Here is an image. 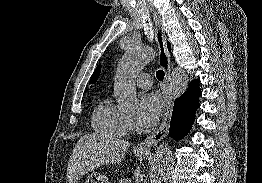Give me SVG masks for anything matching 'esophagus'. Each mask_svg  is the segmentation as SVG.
I'll use <instances>...</instances> for the list:
<instances>
[{"instance_id": "esophagus-1", "label": "esophagus", "mask_w": 262, "mask_h": 183, "mask_svg": "<svg viewBox=\"0 0 262 183\" xmlns=\"http://www.w3.org/2000/svg\"><path fill=\"white\" fill-rule=\"evenodd\" d=\"M155 21V38L159 49V65L165 72V82L162 89L165 102L164 118L159 129L148 136L144 141L140 142L137 150L141 152H149L168 132L170 120L173 110V102L166 88L167 80L170 76V54L167 49L165 30L159 17L154 13Z\"/></svg>"}]
</instances>
